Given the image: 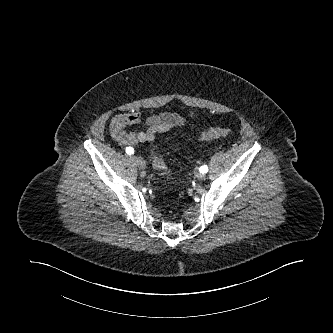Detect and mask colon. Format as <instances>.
I'll return each mask as SVG.
<instances>
[{
    "mask_svg": "<svg viewBox=\"0 0 333 333\" xmlns=\"http://www.w3.org/2000/svg\"><path fill=\"white\" fill-rule=\"evenodd\" d=\"M230 133L231 132L228 128L213 127V128H210V129L204 131L200 135V140L208 141V140H213V139H218V138H224V137L229 136ZM152 160H153V165L157 170H159L160 172H162L165 175L169 174V171L167 170V167L160 155H158L156 152H153Z\"/></svg>",
    "mask_w": 333,
    "mask_h": 333,
    "instance_id": "1",
    "label": "colon"
}]
</instances>
